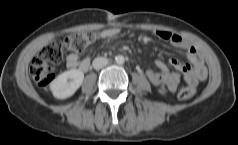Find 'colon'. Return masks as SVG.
Returning <instances> with one entry per match:
<instances>
[{
  "instance_id": "1",
  "label": "colon",
  "mask_w": 238,
  "mask_h": 145,
  "mask_svg": "<svg viewBox=\"0 0 238 145\" xmlns=\"http://www.w3.org/2000/svg\"><path fill=\"white\" fill-rule=\"evenodd\" d=\"M96 39L93 32L73 33L63 39H58L44 46L32 60L30 75L41 88H46L53 81L55 66L62 60L64 49L72 52H81ZM195 90L192 87H183L178 97L187 100L193 97Z\"/></svg>"
}]
</instances>
